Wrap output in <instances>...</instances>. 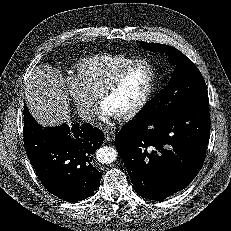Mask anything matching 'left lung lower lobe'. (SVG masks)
I'll use <instances>...</instances> for the list:
<instances>
[{"mask_svg": "<svg viewBox=\"0 0 231 231\" xmlns=\"http://www.w3.org/2000/svg\"><path fill=\"white\" fill-rule=\"evenodd\" d=\"M210 135L208 104L155 120L134 119L115 137L136 192L162 200L186 188L203 166Z\"/></svg>", "mask_w": 231, "mask_h": 231, "instance_id": "obj_1", "label": "left lung lower lobe"}]
</instances>
